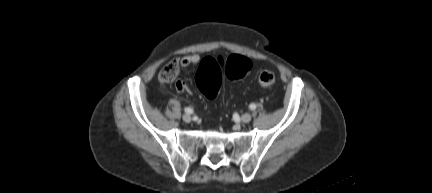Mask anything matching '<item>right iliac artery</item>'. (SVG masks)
Segmentation results:
<instances>
[{
  "mask_svg": "<svg viewBox=\"0 0 432 193\" xmlns=\"http://www.w3.org/2000/svg\"><path fill=\"white\" fill-rule=\"evenodd\" d=\"M184 111H185V113H187V114H192V113H193V109H192V108H189V107L185 108Z\"/></svg>",
  "mask_w": 432,
  "mask_h": 193,
  "instance_id": "1",
  "label": "right iliac artery"
}]
</instances>
